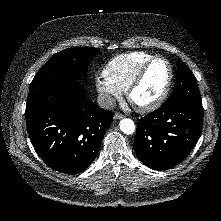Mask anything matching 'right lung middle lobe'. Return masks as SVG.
<instances>
[{"mask_svg":"<svg viewBox=\"0 0 221 221\" xmlns=\"http://www.w3.org/2000/svg\"><path fill=\"white\" fill-rule=\"evenodd\" d=\"M98 50L92 47L67 48L54 54L38 71L29 88L27 103L52 85L65 80L84 79Z\"/></svg>","mask_w":221,"mask_h":221,"instance_id":"obj_1","label":"right lung middle lobe"}]
</instances>
